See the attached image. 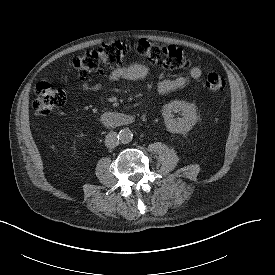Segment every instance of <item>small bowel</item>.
Returning <instances> with one entry per match:
<instances>
[{
  "instance_id": "c3829d8e",
  "label": "small bowel",
  "mask_w": 275,
  "mask_h": 275,
  "mask_svg": "<svg viewBox=\"0 0 275 275\" xmlns=\"http://www.w3.org/2000/svg\"><path fill=\"white\" fill-rule=\"evenodd\" d=\"M149 73V68L142 64L131 66H122L114 69L109 80L112 82L126 79L130 81H138L144 79ZM202 71L198 67H193L187 76H179L174 79H159L156 85L157 91L160 94H168L185 88L191 80H197L201 77ZM103 87L102 82L96 81L93 83L82 82L81 88L86 92H99Z\"/></svg>"
}]
</instances>
